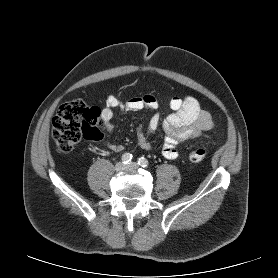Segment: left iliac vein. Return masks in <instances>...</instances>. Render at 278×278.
Wrapping results in <instances>:
<instances>
[{"mask_svg":"<svg viewBox=\"0 0 278 278\" xmlns=\"http://www.w3.org/2000/svg\"><path fill=\"white\" fill-rule=\"evenodd\" d=\"M138 164L136 163H130L129 165H127V170L128 171H136L138 169Z\"/></svg>","mask_w":278,"mask_h":278,"instance_id":"1","label":"left iliac vein"}]
</instances>
